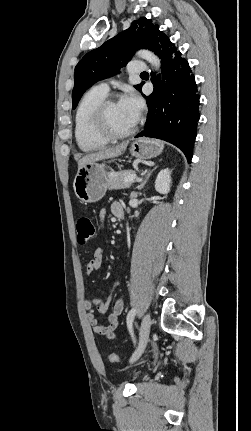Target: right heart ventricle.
I'll return each instance as SVG.
<instances>
[{
  "label": "right heart ventricle",
  "mask_w": 251,
  "mask_h": 431,
  "mask_svg": "<svg viewBox=\"0 0 251 431\" xmlns=\"http://www.w3.org/2000/svg\"><path fill=\"white\" fill-rule=\"evenodd\" d=\"M106 92L93 87L81 98L75 113V139L82 151L90 152L107 145L108 140L98 136L92 126L93 114Z\"/></svg>",
  "instance_id": "e07e8e85"
}]
</instances>
